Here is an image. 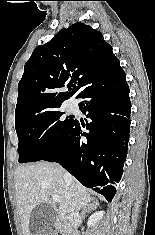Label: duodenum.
I'll return each instance as SVG.
<instances>
[{
	"label": "duodenum",
	"instance_id": "1",
	"mask_svg": "<svg viewBox=\"0 0 155 235\" xmlns=\"http://www.w3.org/2000/svg\"><path fill=\"white\" fill-rule=\"evenodd\" d=\"M57 228L62 235H76L74 230L69 228L66 223H60Z\"/></svg>",
	"mask_w": 155,
	"mask_h": 235
}]
</instances>
